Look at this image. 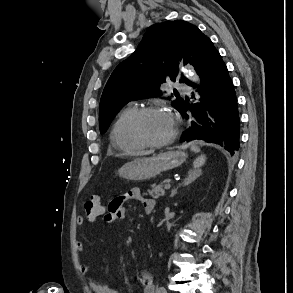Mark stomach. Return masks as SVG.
Wrapping results in <instances>:
<instances>
[{
  "instance_id": "stomach-1",
  "label": "stomach",
  "mask_w": 293,
  "mask_h": 293,
  "mask_svg": "<svg viewBox=\"0 0 293 293\" xmlns=\"http://www.w3.org/2000/svg\"><path fill=\"white\" fill-rule=\"evenodd\" d=\"M187 154L183 151H168L148 158H136L119 169V175L127 180L145 181L164 171L180 166Z\"/></svg>"
}]
</instances>
